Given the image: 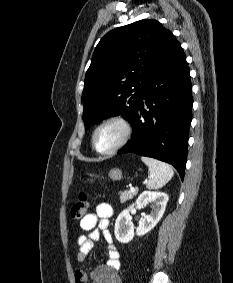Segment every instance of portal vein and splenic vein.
<instances>
[{"mask_svg":"<svg viewBox=\"0 0 233 283\" xmlns=\"http://www.w3.org/2000/svg\"><path fill=\"white\" fill-rule=\"evenodd\" d=\"M130 191L135 192L136 189L134 187H130Z\"/></svg>","mask_w":233,"mask_h":283,"instance_id":"portal-vein-and-splenic-vein-1","label":"portal vein and splenic vein"}]
</instances>
